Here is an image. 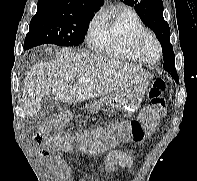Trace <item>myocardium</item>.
Here are the masks:
<instances>
[{
  "label": "myocardium",
  "mask_w": 197,
  "mask_h": 181,
  "mask_svg": "<svg viewBox=\"0 0 197 181\" xmlns=\"http://www.w3.org/2000/svg\"><path fill=\"white\" fill-rule=\"evenodd\" d=\"M146 39H151L157 46L158 56L155 60H150L145 55V52L143 49V43ZM133 49L135 53L139 56V58L142 60V62L147 63V64H154L158 62L162 56V46L160 44V41L158 40L157 36L153 32L147 29H144L136 34V36L133 39Z\"/></svg>",
  "instance_id": "myocardium-1"
}]
</instances>
